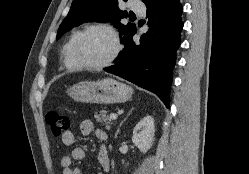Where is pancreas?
Instances as JSON below:
<instances>
[{
	"label": "pancreas",
	"instance_id": "obj_1",
	"mask_svg": "<svg viewBox=\"0 0 249 174\" xmlns=\"http://www.w3.org/2000/svg\"><path fill=\"white\" fill-rule=\"evenodd\" d=\"M95 118L97 122L103 123L106 126L107 130L111 129V125L113 124L110 117L107 115V112L102 110L99 113H96Z\"/></svg>",
	"mask_w": 249,
	"mask_h": 174
}]
</instances>
